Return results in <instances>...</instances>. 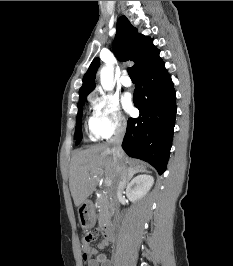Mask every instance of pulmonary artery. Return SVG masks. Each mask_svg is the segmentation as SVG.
Returning <instances> with one entry per match:
<instances>
[{
  "mask_svg": "<svg viewBox=\"0 0 233 266\" xmlns=\"http://www.w3.org/2000/svg\"><path fill=\"white\" fill-rule=\"evenodd\" d=\"M121 83L125 87H130L132 85V81L129 78V76L127 75L126 72H124L123 75H122V77H121Z\"/></svg>",
  "mask_w": 233,
  "mask_h": 266,
  "instance_id": "1",
  "label": "pulmonary artery"
}]
</instances>
